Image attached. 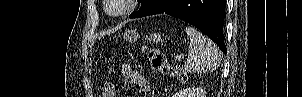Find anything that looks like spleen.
Instances as JSON below:
<instances>
[{
	"instance_id": "spleen-1",
	"label": "spleen",
	"mask_w": 302,
	"mask_h": 97,
	"mask_svg": "<svg viewBox=\"0 0 302 97\" xmlns=\"http://www.w3.org/2000/svg\"><path fill=\"white\" fill-rule=\"evenodd\" d=\"M185 32L190 38L185 71L204 73L217 69L222 61L217 45L194 27H186Z\"/></svg>"
}]
</instances>
